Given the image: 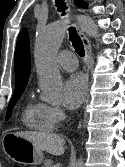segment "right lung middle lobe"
<instances>
[{"instance_id": "obj_1", "label": "right lung middle lobe", "mask_w": 125, "mask_h": 167, "mask_svg": "<svg viewBox=\"0 0 125 167\" xmlns=\"http://www.w3.org/2000/svg\"><path fill=\"white\" fill-rule=\"evenodd\" d=\"M25 88H17L15 89V93L12 96V99L9 103L8 109H7V114H6V120H8L11 117L12 114V109L14 107V105L16 104V102L18 101V99L20 98L21 94L23 93Z\"/></svg>"}]
</instances>
